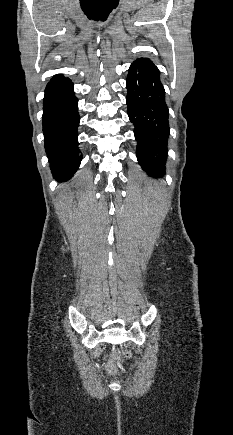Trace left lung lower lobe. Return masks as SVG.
Masks as SVG:
<instances>
[{
  "instance_id": "1",
  "label": "left lung lower lobe",
  "mask_w": 233,
  "mask_h": 435,
  "mask_svg": "<svg viewBox=\"0 0 233 435\" xmlns=\"http://www.w3.org/2000/svg\"><path fill=\"white\" fill-rule=\"evenodd\" d=\"M128 116L135 129L137 160L149 176L164 174L169 136V110L160 73L154 68L133 63L127 76Z\"/></svg>"
}]
</instances>
